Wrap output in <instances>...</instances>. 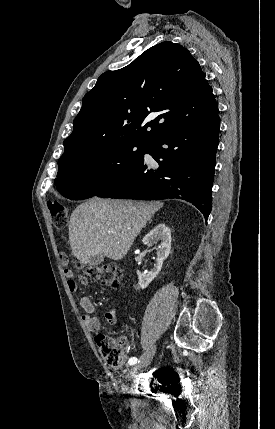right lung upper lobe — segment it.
<instances>
[{"label":"right lung upper lobe","instance_id":"obj_1","mask_svg":"<svg viewBox=\"0 0 275 429\" xmlns=\"http://www.w3.org/2000/svg\"><path fill=\"white\" fill-rule=\"evenodd\" d=\"M205 77L190 52L170 41L149 48L124 68L103 73L83 98L58 165L118 143H149L212 117L218 105Z\"/></svg>","mask_w":275,"mask_h":429}]
</instances>
